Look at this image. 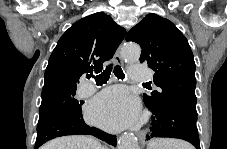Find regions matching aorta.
Returning <instances> with one entry per match:
<instances>
[{
	"label": "aorta",
	"mask_w": 227,
	"mask_h": 149,
	"mask_svg": "<svg viewBox=\"0 0 227 149\" xmlns=\"http://www.w3.org/2000/svg\"><path fill=\"white\" fill-rule=\"evenodd\" d=\"M140 54V47L135 44H127L121 52L122 58L128 62L138 61ZM118 149H139L137 138L131 133H125L118 142Z\"/></svg>",
	"instance_id": "762f6f07"
}]
</instances>
